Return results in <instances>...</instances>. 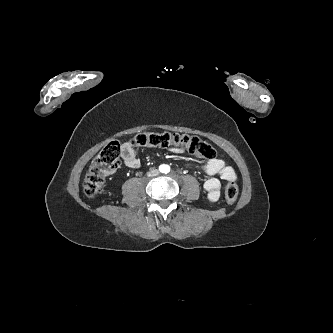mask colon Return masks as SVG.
<instances>
[{
    "mask_svg": "<svg viewBox=\"0 0 333 333\" xmlns=\"http://www.w3.org/2000/svg\"><path fill=\"white\" fill-rule=\"evenodd\" d=\"M132 147H169L177 146L190 154L203 159L215 158L214 148L196 136L170 132H143L130 141ZM121 144L113 141L106 145L93 160L85 177L83 189L88 197L96 196L102 189L105 178L120 167ZM239 188L235 181H228L225 187V199L229 205L235 203Z\"/></svg>",
    "mask_w": 333,
    "mask_h": 333,
    "instance_id": "5ec220e1",
    "label": "colon"
}]
</instances>
